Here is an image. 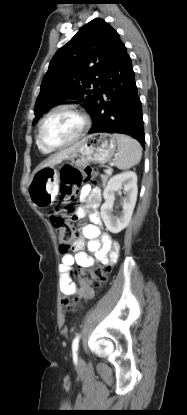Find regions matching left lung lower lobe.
I'll return each mask as SVG.
<instances>
[{
    "mask_svg": "<svg viewBox=\"0 0 187 415\" xmlns=\"http://www.w3.org/2000/svg\"><path fill=\"white\" fill-rule=\"evenodd\" d=\"M99 86L97 103L91 115L93 126L89 134H126L144 147L142 106L135 73L131 58L119 36L114 41Z\"/></svg>",
    "mask_w": 187,
    "mask_h": 415,
    "instance_id": "obj_1",
    "label": "left lung lower lobe"
}]
</instances>
